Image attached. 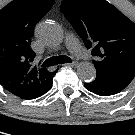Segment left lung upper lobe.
<instances>
[{"instance_id":"obj_1","label":"left lung upper lobe","mask_w":135,"mask_h":135,"mask_svg":"<svg viewBox=\"0 0 135 135\" xmlns=\"http://www.w3.org/2000/svg\"><path fill=\"white\" fill-rule=\"evenodd\" d=\"M60 9L92 49L96 79L126 88L135 77V23L106 0H64Z\"/></svg>"}]
</instances>
